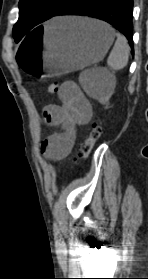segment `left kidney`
I'll return each mask as SVG.
<instances>
[{
    "label": "left kidney",
    "mask_w": 148,
    "mask_h": 279,
    "mask_svg": "<svg viewBox=\"0 0 148 279\" xmlns=\"http://www.w3.org/2000/svg\"><path fill=\"white\" fill-rule=\"evenodd\" d=\"M111 95H112V92H110L109 94H107L104 97L99 98L98 101L103 105H108Z\"/></svg>",
    "instance_id": "5707ae66"
}]
</instances>
